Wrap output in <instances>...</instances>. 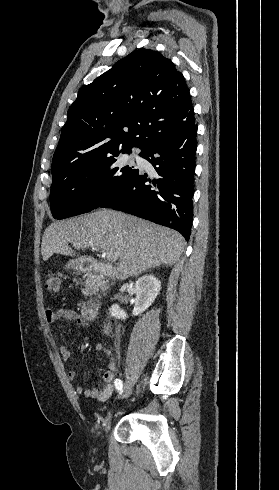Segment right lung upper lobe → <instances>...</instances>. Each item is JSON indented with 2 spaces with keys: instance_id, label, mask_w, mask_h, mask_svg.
Returning a JSON list of instances; mask_svg holds the SVG:
<instances>
[{
  "instance_id": "1",
  "label": "right lung upper lobe",
  "mask_w": 279,
  "mask_h": 490,
  "mask_svg": "<svg viewBox=\"0 0 279 490\" xmlns=\"http://www.w3.org/2000/svg\"><path fill=\"white\" fill-rule=\"evenodd\" d=\"M194 126L183 75L159 52L135 50L79 90L53 156L52 177L120 148L131 152L136 146L141 155Z\"/></svg>"
}]
</instances>
